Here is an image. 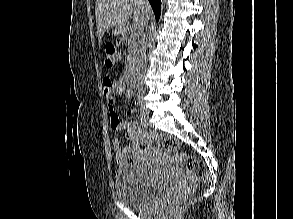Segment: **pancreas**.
I'll return each instance as SVG.
<instances>
[{
    "label": "pancreas",
    "instance_id": "pancreas-1",
    "mask_svg": "<svg viewBox=\"0 0 293 219\" xmlns=\"http://www.w3.org/2000/svg\"><path fill=\"white\" fill-rule=\"evenodd\" d=\"M128 45V55L125 62V69H129L135 65L138 59L139 49H140V35L135 30H132L130 37L127 40Z\"/></svg>",
    "mask_w": 293,
    "mask_h": 219
}]
</instances>
